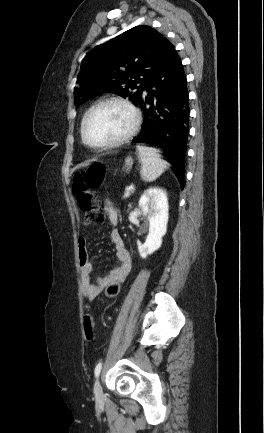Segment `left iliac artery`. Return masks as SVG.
Returning <instances> with one entry per match:
<instances>
[{
  "instance_id": "obj_1",
  "label": "left iliac artery",
  "mask_w": 264,
  "mask_h": 433,
  "mask_svg": "<svg viewBox=\"0 0 264 433\" xmlns=\"http://www.w3.org/2000/svg\"><path fill=\"white\" fill-rule=\"evenodd\" d=\"M101 368H102V362H99V363L96 365L95 370H94L95 377H98V376H99L100 371H101Z\"/></svg>"
}]
</instances>
